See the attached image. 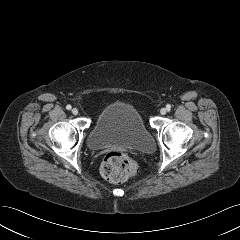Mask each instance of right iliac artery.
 I'll use <instances>...</instances> for the list:
<instances>
[{
    "label": "right iliac artery",
    "mask_w": 240,
    "mask_h": 240,
    "mask_svg": "<svg viewBox=\"0 0 240 240\" xmlns=\"http://www.w3.org/2000/svg\"><path fill=\"white\" fill-rule=\"evenodd\" d=\"M71 108H72L71 105H67V106H66V109H67V110H70Z\"/></svg>",
    "instance_id": "82829eb1"
}]
</instances>
